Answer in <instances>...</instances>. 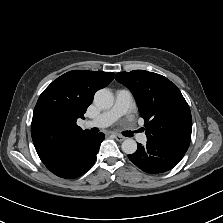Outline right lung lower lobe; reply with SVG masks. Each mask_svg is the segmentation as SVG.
Here are the masks:
<instances>
[{
	"label": "right lung lower lobe",
	"mask_w": 223,
	"mask_h": 223,
	"mask_svg": "<svg viewBox=\"0 0 223 223\" xmlns=\"http://www.w3.org/2000/svg\"><path fill=\"white\" fill-rule=\"evenodd\" d=\"M103 139L104 134L102 133L85 135L63 160L47 168L61 178L81 176L94 164Z\"/></svg>",
	"instance_id": "1"
}]
</instances>
